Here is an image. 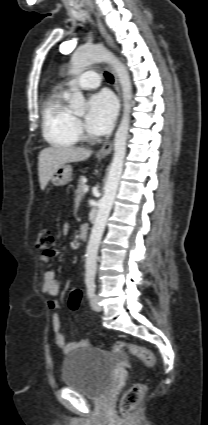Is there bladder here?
Returning a JSON list of instances; mask_svg holds the SVG:
<instances>
[{
  "label": "bladder",
  "mask_w": 208,
  "mask_h": 425,
  "mask_svg": "<svg viewBox=\"0 0 208 425\" xmlns=\"http://www.w3.org/2000/svg\"><path fill=\"white\" fill-rule=\"evenodd\" d=\"M114 356L95 347H82L71 352L62 370V382L82 396L102 399L114 382Z\"/></svg>",
  "instance_id": "bladder-1"
}]
</instances>
